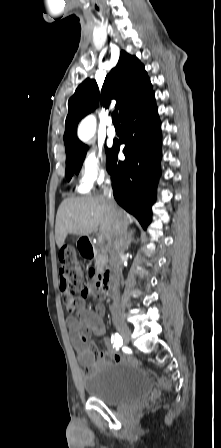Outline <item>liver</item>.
<instances>
[{"label": "liver", "mask_w": 221, "mask_h": 448, "mask_svg": "<svg viewBox=\"0 0 221 448\" xmlns=\"http://www.w3.org/2000/svg\"><path fill=\"white\" fill-rule=\"evenodd\" d=\"M121 212L127 229L132 218L125 211ZM115 222L116 216L105 196L64 199L56 215V244L61 248L68 234L88 236L98 227L101 235L112 244Z\"/></svg>", "instance_id": "obj_1"}]
</instances>
